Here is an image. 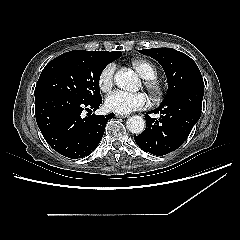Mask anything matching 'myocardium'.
<instances>
[{"label": "myocardium", "instance_id": "obj_1", "mask_svg": "<svg viewBox=\"0 0 240 240\" xmlns=\"http://www.w3.org/2000/svg\"><path fill=\"white\" fill-rule=\"evenodd\" d=\"M143 85L153 99L159 98L164 93V85L156 76L143 79Z\"/></svg>", "mask_w": 240, "mask_h": 240}]
</instances>
